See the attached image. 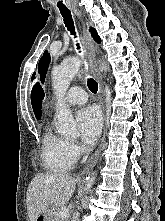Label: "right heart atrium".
I'll use <instances>...</instances> for the list:
<instances>
[{
    "label": "right heart atrium",
    "mask_w": 165,
    "mask_h": 221,
    "mask_svg": "<svg viewBox=\"0 0 165 221\" xmlns=\"http://www.w3.org/2000/svg\"><path fill=\"white\" fill-rule=\"evenodd\" d=\"M69 147H70V150H71V152L74 154V155H78L79 154V152H80V147H79V145L76 143V142H74V141H69Z\"/></svg>",
    "instance_id": "right-heart-atrium-1"
}]
</instances>
